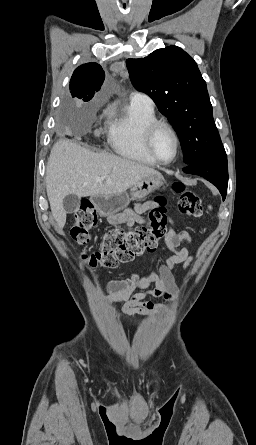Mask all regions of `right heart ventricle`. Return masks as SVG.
Returning a JSON list of instances; mask_svg holds the SVG:
<instances>
[{
    "label": "right heart ventricle",
    "instance_id": "e07e8e85",
    "mask_svg": "<svg viewBox=\"0 0 256 445\" xmlns=\"http://www.w3.org/2000/svg\"><path fill=\"white\" fill-rule=\"evenodd\" d=\"M157 120L154 107L130 103L123 114L108 121L107 136L113 150L133 161L154 165L144 145L146 127Z\"/></svg>",
    "mask_w": 256,
    "mask_h": 445
}]
</instances>
